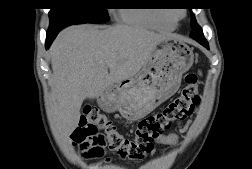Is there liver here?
Masks as SVG:
<instances>
[{
	"mask_svg": "<svg viewBox=\"0 0 252 169\" xmlns=\"http://www.w3.org/2000/svg\"><path fill=\"white\" fill-rule=\"evenodd\" d=\"M169 37L175 36L127 25L99 29L84 24L62 30L50 48L54 123L60 137L68 140L78 126L86 98L99 97L115 83L134 77Z\"/></svg>",
	"mask_w": 252,
	"mask_h": 169,
	"instance_id": "obj_1",
	"label": "liver"
}]
</instances>
